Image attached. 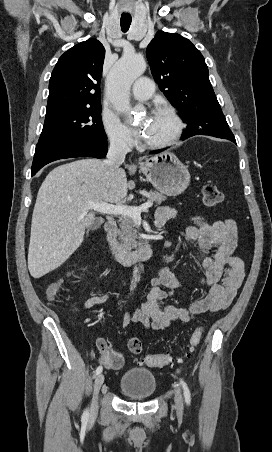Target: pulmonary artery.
Instances as JSON below:
<instances>
[{"mask_svg":"<svg viewBox=\"0 0 272 452\" xmlns=\"http://www.w3.org/2000/svg\"><path fill=\"white\" fill-rule=\"evenodd\" d=\"M154 92V83L147 77L139 78L132 86V96L138 101L148 100Z\"/></svg>","mask_w":272,"mask_h":452,"instance_id":"pulmonary-artery-1","label":"pulmonary artery"}]
</instances>
